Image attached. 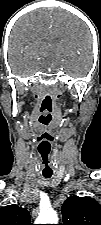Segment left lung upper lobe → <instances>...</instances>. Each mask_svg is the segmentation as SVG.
Listing matches in <instances>:
<instances>
[{"instance_id":"obj_1","label":"left lung upper lobe","mask_w":101,"mask_h":225,"mask_svg":"<svg viewBox=\"0 0 101 225\" xmlns=\"http://www.w3.org/2000/svg\"><path fill=\"white\" fill-rule=\"evenodd\" d=\"M61 225H101V205L90 197L70 196L62 206Z\"/></svg>"}]
</instances>
